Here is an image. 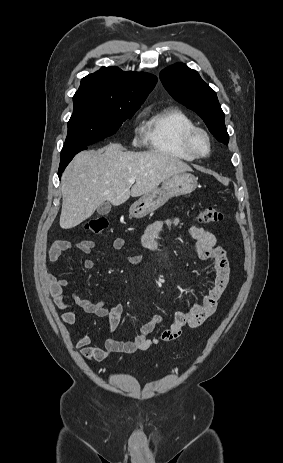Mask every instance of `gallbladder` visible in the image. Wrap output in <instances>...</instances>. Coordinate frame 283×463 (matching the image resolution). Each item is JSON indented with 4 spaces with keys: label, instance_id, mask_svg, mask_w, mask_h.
<instances>
[{
    "label": "gallbladder",
    "instance_id": "1",
    "mask_svg": "<svg viewBox=\"0 0 283 463\" xmlns=\"http://www.w3.org/2000/svg\"><path fill=\"white\" fill-rule=\"evenodd\" d=\"M111 211V204L109 202H104L97 208V213L100 215H106Z\"/></svg>",
    "mask_w": 283,
    "mask_h": 463
}]
</instances>
